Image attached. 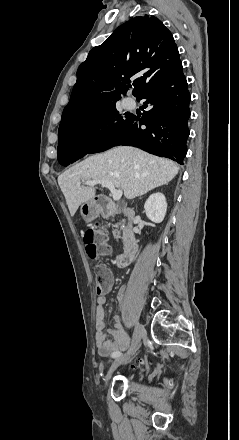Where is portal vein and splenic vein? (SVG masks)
<instances>
[{
  "label": "portal vein and splenic vein",
  "instance_id": "obj_1",
  "mask_svg": "<svg viewBox=\"0 0 239 440\" xmlns=\"http://www.w3.org/2000/svg\"><path fill=\"white\" fill-rule=\"evenodd\" d=\"M82 182H84V180H82ZM84 184H86V186H97V184H101V186H103V188H108V190H110L112 196H113V200H115V202H117V200H120L123 192L122 190H116L114 184H111V182H105V180H86V182H84ZM80 186V184H79Z\"/></svg>",
  "mask_w": 239,
  "mask_h": 440
}]
</instances>
